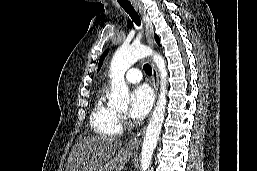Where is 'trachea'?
<instances>
[{
    "mask_svg": "<svg viewBox=\"0 0 257 171\" xmlns=\"http://www.w3.org/2000/svg\"><path fill=\"white\" fill-rule=\"evenodd\" d=\"M120 6L129 14L137 26L141 25L140 17L131 3H120ZM144 71L148 76L152 75V68L148 63L144 65Z\"/></svg>",
    "mask_w": 257,
    "mask_h": 171,
    "instance_id": "3493384b",
    "label": "trachea"
}]
</instances>
